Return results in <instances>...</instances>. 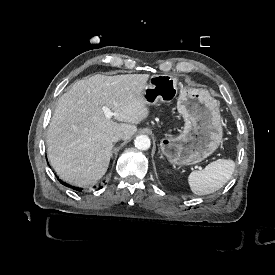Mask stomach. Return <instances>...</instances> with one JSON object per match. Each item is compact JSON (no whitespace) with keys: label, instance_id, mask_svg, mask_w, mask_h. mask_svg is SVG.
I'll use <instances>...</instances> for the list:
<instances>
[{"label":"stomach","instance_id":"0dacf381","mask_svg":"<svg viewBox=\"0 0 275 275\" xmlns=\"http://www.w3.org/2000/svg\"><path fill=\"white\" fill-rule=\"evenodd\" d=\"M178 93V76L155 74L142 90L146 105L158 102L170 103ZM178 112L185 126L177 136L160 141V149L174 165H192L211 155L222 142V123L219 102L207 89L180 88L177 100Z\"/></svg>","mask_w":275,"mask_h":275}]
</instances>
